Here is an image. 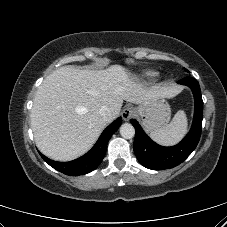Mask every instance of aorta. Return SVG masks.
Here are the masks:
<instances>
[{"instance_id":"762f6f07","label":"aorta","mask_w":227,"mask_h":227,"mask_svg":"<svg viewBox=\"0 0 227 227\" xmlns=\"http://www.w3.org/2000/svg\"><path fill=\"white\" fill-rule=\"evenodd\" d=\"M120 134L125 139H131L135 135V129L130 123H124L120 127Z\"/></svg>"}]
</instances>
